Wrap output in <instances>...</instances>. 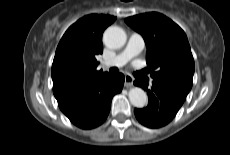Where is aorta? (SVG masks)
<instances>
[{"label": "aorta", "instance_id": "aorta-1", "mask_svg": "<svg viewBox=\"0 0 230 155\" xmlns=\"http://www.w3.org/2000/svg\"><path fill=\"white\" fill-rule=\"evenodd\" d=\"M103 41L110 48H121L126 42V33L121 27L110 26L103 34ZM128 96L134 107L142 108L147 104L148 97L144 90L139 87L131 88Z\"/></svg>", "mask_w": 230, "mask_h": 155}]
</instances>
